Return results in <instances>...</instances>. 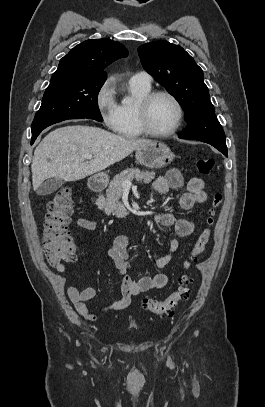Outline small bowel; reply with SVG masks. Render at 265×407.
<instances>
[{
  "label": "small bowel",
  "mask_w": 265,
  "mask_h": 407,
  "mask_svg": "<svg viewBox=\"0 0 265 407\" xmlns=\"http://www.w3.org/2000/svg\"><path fill=\"white\" fill-rule=\"evenodd\" d=\"M184 185L183 177L177 169H170L165 175L158 177L154 182V188L160 195H166L170 190L181 189ZM204 185V180L199 177H193L186 183L187 191L180 198L182 209L189 211L206 201L207 194L204 191ZM156 220L159 224L172 228L176 236L180 238L188 237L195 231V222L193 220L176 218L170 213H160ZM72 226L85 230H95L97 223L91 219L78 218L73 222ZM179 246V241L172 239L169 242L166 253L156 260V266L159 269L167 266L171 262L174 253L179 249ZM131 251L130 240L125 235L117 236L108 251V256L114 261L121 279V297L103 307L101 309L103 313L124 310L130 306L133 296L149 290L161 289L168 283V276L164 272H158L154 276H146L138 280L134 279L130 273L131 266L128 262ZM55 269L58 272H63L65 267L62 264L55 267ZM66 291L80 316L90 321L96 320L97 313L88 306V302L97 295V290L94 287H86L79 290L73 285H68Z\"/></svg>",
  "instance_id": "1"
}]
</instances>
